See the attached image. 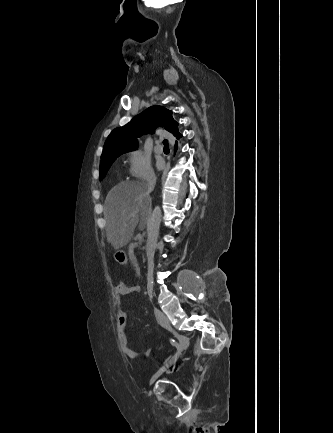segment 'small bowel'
I'll return each instance as SVG.
<instances>
[{"mask_svg": "<svg viewBox=\"0 0 333 433\" xmlns=\"http://www.w3.org/2000/svg\"><path fill=\"white\" fill-rule=\"evenodd\" d=\"M140 291V288L138 286H131L127 285L125 283L118 284L114 289V301L116 305V318H117V329H118V336H119V343L122 348L123 353L130 359L137 360L142 357H147L151 353V349L146 350L143 353L137 352L133 350L129 346L128 341V333L126 329V320H127V314L126 312L121 308L122 300L125 297L130 296L131 294L138 293Z\"/></svg>", "mask_w": 333, "mask_h": 433, "instance_id": "1", "label": "small bowel"}]
</instances>
